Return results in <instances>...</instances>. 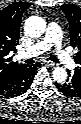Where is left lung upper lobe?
<instances>
[{
	"mask_svg": "<svg viewBox=\"0 0 81 124\" xmlns=\"http://www.w3.org/2000/svg\"><path fill=\"white\" fill-rule=\"evenodd\" d=\"M61 9L69 21L70 45L78 49L74 58L80 66L75 68V72L81 74V8L73 4H65Z\"/></svg>",
	"mask_w": 81,
	"mask_h": 124,
	"instance_id": "left-lung-upper-lobe-1",
	"label": "left lung upper lobe"
}]
</instances>
